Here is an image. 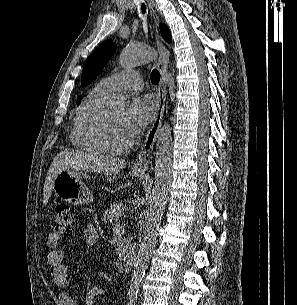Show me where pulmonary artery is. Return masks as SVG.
<instances>
[{
    "instance_id": "e3ab8cb5",
    "label": "pulmonary artery",
    "mask_w": 297,
    "mask_h": 305,
    "mask_svg": "<svg viewBox=\"0 0 297 305\" xmlns=\"http://www.w3.org/2000/svg\"><path fill=\"white\" fill-rule=\"evenodd\" d=\"M98 86L106 93L112 95L122 90L142 89L143 79L138 71L128 69L103 78L98 83Z\"/></svg>"
}]
</instances>
